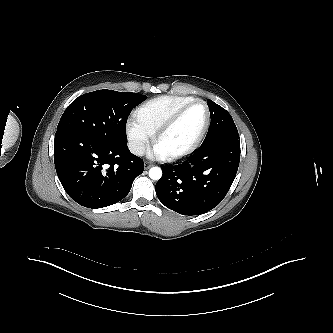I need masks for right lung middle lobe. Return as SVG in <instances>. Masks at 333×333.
Segmentation results:
<instances>
[{
	"mask_svg": "<svg viewBox=\"0 0 333 333\" xmlns=\"http://www.w3.org/2000/svg\"><path fill=\"white\" fill-rule=\"evenodd\" d=\"M145 95L98 90L81 95L63 113L56 134L74 133L108 143H127L126 122Z\"/></svg>",
	"mask_w": 333,
	"mask_h": 333,
	"instance_id": "1",
	"label": "right lung middle lobe"
}]
</instances>
